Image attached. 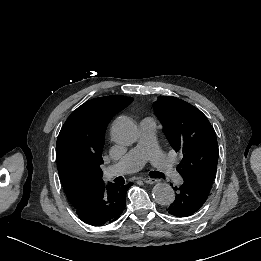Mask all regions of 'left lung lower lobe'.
<instances>
[{
	"instance_id": "1",
	"label": "left lung lower lobe",
	"mask_w": 261,
	"mask_h": 261,
	"mask_svg": "<svg viewBox=\"0 0 261 261\" xmlns=\"http://www.w3.org/2000/svg\"><path fill=\"white\" fill-rule=\"evenodd\" d=\"M174 189L176 197L167 210L176 217L193 215L205 203L210 192L209 187L191 178H183V184Z\"/></svg>"
}]
</instances>
